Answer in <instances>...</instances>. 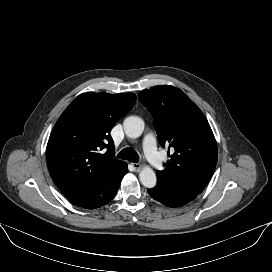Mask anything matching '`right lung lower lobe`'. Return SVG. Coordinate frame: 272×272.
I'll return each mask as SVG.
<instances>
[{"mask_svg": "<svg viewBox=\"0 0 272 272\" xmlns=\"http://www.w3.org/2000/svg\"><path fill=\"white\" fill-rule=\"evenodd\" d=\"M128 168L125 162L115 167L96 187L82 193L67 195L76 206L86 209H96L112 200L121 184V180L127 173Z\"/></svg>", "mask_w": 272, "mask_h": 272, "instance_id": "obj_1", "label": "right lung lower lobe"}]
</instances>
